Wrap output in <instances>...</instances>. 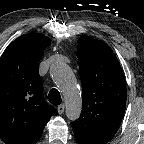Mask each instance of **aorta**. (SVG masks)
I'll return each instance as SVG.
<instances>
[{"label": "aorta", "instance_id": "762f6f07", "mask_svg": "<svg viewBox=\"0 0 144 144\" xmlns=\"http://www.w3.org/2000/svg\"><path fill=\"white\" fill-rule=\"evenodd\" d=\"M50 75L63 93L67 118L71 121L78 119L81 113L82 100L71 68L67 64L59 62L51 66Z\"/></svg>", "mask_w": 144, "mask_h": 144}]
</instances>
